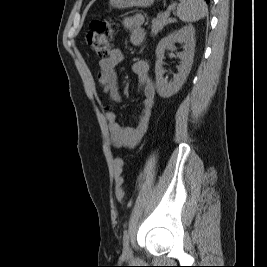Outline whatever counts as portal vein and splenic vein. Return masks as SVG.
Here are the masks:
<instances>
[{
  "label": "portal vein and splenic vein",
  "mask_w": 267,
  "mask_h": 267,
  "mask_svg": "<svg viewBox=\"0 0 267 267\" xmlns=\"http://www.w3.org/2000/svg\"><path fill=\"white\" fill-rule=\"evenodd\" d=\"M171 9H172V7H169V8L164 12L163 15H164L165 17H169V16H170Z\"/></svg>",
  "instance_id": "1"
}]
</instances>
